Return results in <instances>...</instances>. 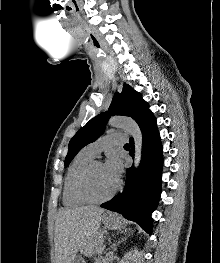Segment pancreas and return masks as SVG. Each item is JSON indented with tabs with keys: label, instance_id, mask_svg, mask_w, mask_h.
<instances>
[{
	"label": "pancreas",
	"instance_id": "cf45deb5",
	"mask_svg": "<svg viewBox=\"0 0 220 263\" xmlns=\"http://www.w3.org/2000/svg\"><path fill=\"white\" fill-rule=\"evenodd\" d=\"M104 232H97L91 242H89L86 246L83 247V251L85 253H93V252H96L100 246L102 245V235H103Z\"/></svg>",
	"mask_w": 220,
	"mask_h": 263
}]
</instances>
